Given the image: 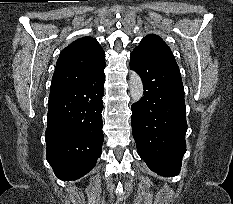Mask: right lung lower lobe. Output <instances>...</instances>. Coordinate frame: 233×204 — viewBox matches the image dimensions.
I'll return each instance as SVG.
<instances>
[{
	"instance_id": "98d812e1",
	"label": "right lung lower lobe",
	"mask_w": 233,
	"mask_h": 204,
	"mask_svg": "<svg viewBox=\"0 0 233 204\" xmlns=\"http://www.w3.org/2000/svg\"><path fill=\"white\" fill-rule=\"evenodd\" d=\"M104 82L103 68L88 82L49 96L46 159L61 180L87 174L102 153Z\"/></svg>"
}]
</instances>
